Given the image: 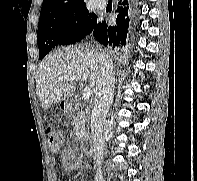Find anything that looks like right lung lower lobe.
<instances>
[{"mask_svg":"<svg viewBox=\"0 0 197 181\" xmlns=\"http://www.w3.org/2000/svg\"><path fill=\"white\" fill-rule=\"evenodd\" d=\"M116 25L108 26L106 21L98 22L91 33L100 43L123 47L126 45L127 33L134 24L137 0H118Z\"/></svg>","mask_w":197,"mask_h":181,"instance_id":"right-lung-lower-lobe-1","label":"right lung lower lobe"}]
</instances>
